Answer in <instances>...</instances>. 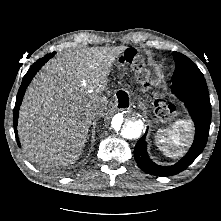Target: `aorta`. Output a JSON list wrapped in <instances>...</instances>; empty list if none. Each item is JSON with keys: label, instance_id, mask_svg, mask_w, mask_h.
<instances>
[{"label": "aorta", "instance_id": "762f6f07", "mask_svg": "<svg viewBox=\"0 0 221 221\" xmlns=\"http://www.w3.org/2000/svg\"><path fill=\"white\" fill-rule=\"evenodd\" d=\"M113 132L124 140L137 139L144 129V122L137 114H116L111 122Z\"/></svg>", "mask_w": 221, "mask_h": 221}]
</instances>
